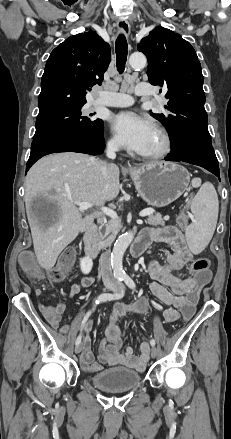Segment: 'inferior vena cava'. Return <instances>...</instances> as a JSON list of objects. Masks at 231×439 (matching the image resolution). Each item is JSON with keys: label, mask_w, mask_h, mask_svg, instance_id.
I'll return each instance as SVG.
<instances>
[{"label": "inferior vena cava", "mask_w": 231, "mask_h": 439, "mask_svg": "<svg viewBox=\"0 0 231 439\" xmlns=\"http://www.w3.org/2000/svg\"><path fill=\"white\" fill-rule=\"evenodd\" d=\"M119 149V145L115 141H109L106 147V155L110 159L116 158V152ZM101 165V174L104 179H107L108 176V167L111 164H108L106 161H100ZM100 270L102 279L104 281H112L113 280V270L111 265V258H110V250H107L104 252L99 260Z\"/></svg>", "instance_id": "inferior-vena-cava-1"}]
</instances>
